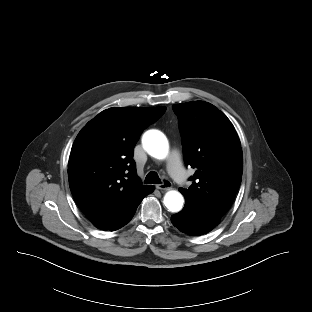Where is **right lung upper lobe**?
Here are the masks:
<instances>
[{"label":"right lung upper lobe","instance_id":"obj_1","mask_svg":"<svg viewBox=\"0 0 312 312\" xmlns=\"http://www.w3.org/2000/svg\"><path fill=\"white\" fill-rule=\"evenodd\" d=\"M166 107H114L99 113L77 135L68 163L71 193L99 229L118 227L145 190L136 174L133 148L142 131Z\"/></svg>","mask_w":312,"mask_h":312}]
</instances>
